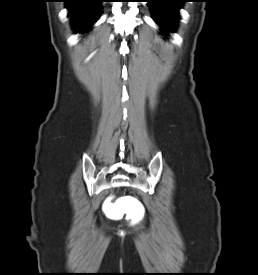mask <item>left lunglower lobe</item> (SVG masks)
Instances as JSON below:
<instances>
[{
  "label": "left lung lower lobe",
  "mask_w": 258,
  "mask_h": 275,
  "mask_svg": "<svg viewBox=\"0 0 258 275\" xmlns=\"http://www.w3.org/2000/svg\"><path fill=\"white\" fill-rule=\"evenodd\" d=\"M185 0H148L153 19L163 30L175 31L178 9Z\"/></svg>",
  "instance_id": "1"
}]
</instances>
